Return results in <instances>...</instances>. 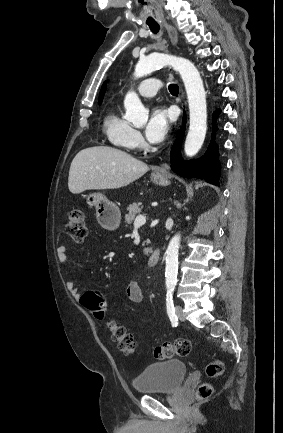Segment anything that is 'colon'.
Segmentation results:
<instances>
[{"label": "colon", "instance_id": "colon-1", "mask_svg": "<svg viewBox=\"0 0 283 433\" xmlns=\"http://www.w3.org/2000/svg\"><path fill=\"white\" fill-rule=\"evenodd\" d=\"M64 232L76 243H83L87 239V225L84 213L79 209H74L69 213L63 225ZM80 303L87 308L98 319H104L106 313V302L102 295L89 290L83 294ZM107 326L112 333V339L117 343L118 348L125 354L131 355L137 351L134 337L123 326L114 321L107 322ZM191 351V342L188 339L180 338L173 342H165L157 346L154 355L159 359H170L174 356L184 357ZM223 364L219 360H213L206 367L208 376L215 377L223 372ZM212 388L205 384L199 388V396L207 397L211 394Z\"/></svg>", "mask_w": 283, "mask_h": 433}]
</instances>
